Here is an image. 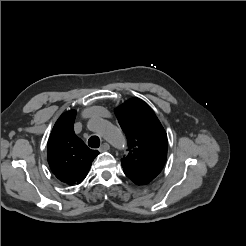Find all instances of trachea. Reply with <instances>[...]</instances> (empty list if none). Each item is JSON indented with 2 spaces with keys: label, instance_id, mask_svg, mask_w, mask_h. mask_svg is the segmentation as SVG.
<instances>
[{
  "label": "trachea",
  "instance_id": "trachea-1",
  "mask_svg": "<svg viewBox=\"0 0 246 246\" xmlns=\"http://www.w3.org/2000/svg\"><path fill=\"white\" fill-rule=\"evenodd\" d=\"M88 145L92 148H98L100 146V139L97 136H91L88 140Z\"/></svg>",
  "mask_w": 246,
  "mask_h": 246
}]
</instances>
